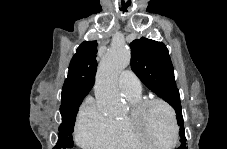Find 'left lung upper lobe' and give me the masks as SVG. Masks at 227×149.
I'll use <instances>...</instances> for the list:
<instances>
[{
  "label": "left lung upper lobe",
  "instance_id": "left-lung-upper-lobe-1",
  "mask_svg": "<svg viewBox=\"0 0 227 149\" xmlns=\"http://www.w3.org/2000/svg\"><path fill=\"white\" fill-rule=\"evenodd\" d=\"M131 68L151 91L167 101L176 111L180 131V148L186 147L182 107L174 80L173 65L167 47L158 41L142 37L130 43Z\"/></svg>",
  "mask_w": 227,
  "mask_h": 149
}]
</instances>
